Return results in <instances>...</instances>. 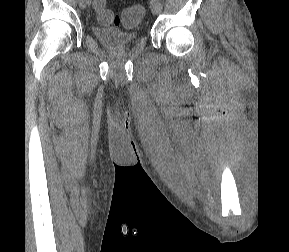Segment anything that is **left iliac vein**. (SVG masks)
Listing matches in <instances>:
<instances>
[{"mask_svg": "<svg viewBox=\"0 0 289 252\" xmlns=\"http://www.w3.org/2000/svg\"><path fill=\"white\" fill-rule=\"evenodd\" d=\"M150 8L153 15H158L162 10V5L158 0H155L151 2Z\"/></svg>", "mask_w": 289, "mask_h": 252, "instance_id": "left-iliac-vein-1", "label": "left iliac vein"}]
</instances>
